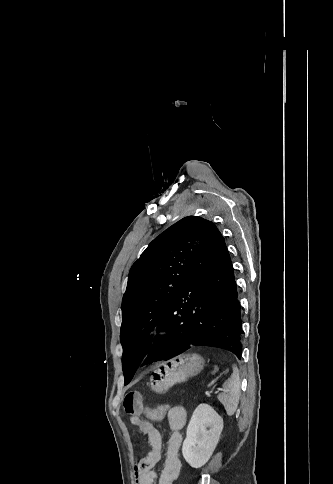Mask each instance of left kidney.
<instances>
[{"label": "left kidney", "mask_w": 333, "mask_h": 484, "mask_svg": "<svg viewBox=\"0 0 333 484\" xmlns=\"http://www.w3.org/2000/svg\"><path fill=\"white\" fill-rule=\"evenodd\" d=\"M223 419L207 404H200L191 417L183 442L182 454L193 468H200L212 456L220 434Z\"/></svg>", "instance_id": "left-kidney-1"}]
</instances>
